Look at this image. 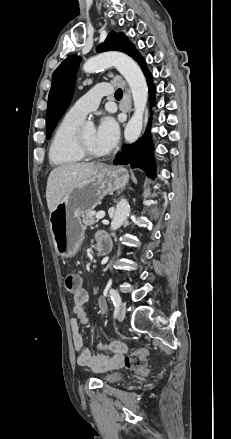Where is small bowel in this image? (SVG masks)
<instances>
[{
    "mask_svg": "<svg viewBox=\"0 0 231 439\" xmlns=\"http://www.w3.org/2000/svg\"><path fill=\"white\" fill-rule=\"evenodd\" d=\"M107 237L100 233L97 239ZM91 296V291L86 283L76 288V293L73 295L74 307L73 312L75 317L70 320V327L72 331V339L74 350L77 354V364L82 367H88L95 372H102L113 368H118L122 365L123 354L127 347L122 341H112L109 344H99L100 350H110L112 355L97 354L93 355L91 351L84 346L83 337L80 333V326L88 322V317L84 309L88 298ZM96 310L99 315H104L107 312V302L103 296H100L96 302Z\"/></svg>",
    "mask_w": 231,
    "mask_h": 439,
    "instance_id": "1",
    "label": "small bowel"
}]
</instances>
